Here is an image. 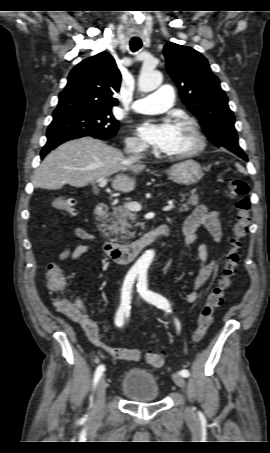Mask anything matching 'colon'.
Instances as JSON below:
<instances>
[{"mask_svg":"<svg viewBox=\"0 0 270 453\" xmlns=\"http://www.w3.org/2000/svg\"><path fill=\"white\" fill-rule=\"evenodd\" d=\"M230 193L237 199L236 217L233 227V236L230 239L229 249L226 254L222 273L217 283L210 290L206 301L197 318V328L194 332V340L201 341L213 322L215 310L223 303L227 289L231 285L239 260L241 241L247 235L251 223V201L248 196L249 187L241 178H233L228 182ZM54 209L68 215L75 216L78 213L77 204L74 200L58 197L53 200ZM45 280L47 287L53 292H62L65 285L64 270L56 263H50L46 269ZM56 308L71 318L80 317L79 306L76 300L59 298L55 301ZM146 362L156 368L164 365V356L160 353L146 352Z\"/></svg>","mask_w":270,"mask_h":453,"instance_id":"obj_1","label":"colon"}]
</instances>
